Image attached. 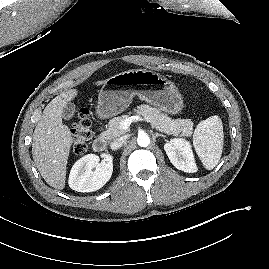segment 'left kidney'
I'll list each match as a JSON object with an SVG mask.
<instances>
[{"instance_id":"left-kidney-1","label":"left kidney","mask_w":269,"mask_h":269,"mask_svg":"<svg viewBox=\"0 0 269 269\" xmlns=\"http://www.w3.org/2000/svg\"><path fill=\"white\" fill-rule=\"evenodd\" d=\"M170 162L179 170L187 173L197 171L191 145L184 139H172L164 145Z\"/></svg>"}]
</instances>
